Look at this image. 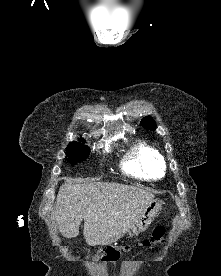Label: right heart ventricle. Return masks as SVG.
<instances>
[{
    "mask_svg": "<svg viewBox=\"0 0 221 276\" xmlns=\"http://www.w3.org/2000/svg\"><path fill=\"white\" fill-rule=\"evenodd\" d=\"M165 167L164 158L159 151L142 141L130 148L122 162V169L126 174L145 179L162 177Z\"/></svg>",
    "mask_w": 221,
    "mask_h": 276,
    "instance_id": "right-heart-ventricle-1",
    "label": "right heart ventricle"
}]
</instances>
